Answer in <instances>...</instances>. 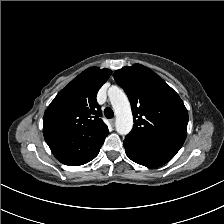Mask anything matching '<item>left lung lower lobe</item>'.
<instances>
[{
	"mask_svg": "<svg viewBox=\"0 0 224 224\" xmlns=\"http://www.w3.org/2000/svg\"><path fill=\"white\" fill-rule=\"evenodd\" d=\"M124 147L128 158L140 165L151 168L164 165L180 149L161 142L138 138L130 134L125 137Z\"/></svg>",
	"mask_w": 224,
	"mask_h": 224,
	"instance_id": "0a47b994",
	"label": "left lung lower lobe"
}]
</instances>
